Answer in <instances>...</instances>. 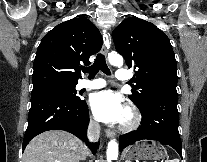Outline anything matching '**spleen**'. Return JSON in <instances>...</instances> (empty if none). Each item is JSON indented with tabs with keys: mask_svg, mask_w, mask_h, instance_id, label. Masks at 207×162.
Listing matches in <instances>:
<instances>
[{
	"mask_svg": "<svg viewBox=\"0 0 207 162\" xmlns=\"http://www.w3.org/2000/svg\"><path fill=\"white\" fill-rule=\"evenodd\" d=\"M166 162H179V160L178 159H174V160H168Z\"/></svg>",
	"mask_w": 207,
	"mask_h": 162,
	"instance_id": "obj_1",
	"label": "spleen"
}]
</instances>
